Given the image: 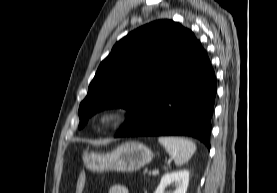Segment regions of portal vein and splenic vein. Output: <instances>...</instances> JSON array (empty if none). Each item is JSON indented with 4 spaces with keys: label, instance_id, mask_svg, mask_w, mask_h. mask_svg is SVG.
I'll return each mask as SVG.
<instances>
[{
    "label": "portal vein and splenic vein",
    "instance_id": "obj_1",
    "mask_svg": "<svg viewBox=\"0 0 277 193\" xmlns=\"http://www.w3.org/2000/svg\"><path fill=\"white\" fill-rule=\"evenodd\" d=\"M158 173H159V170H157V169H155L152 172H150V174H152V175H157Z\"/></svg>",
    "mask_w": 277,
    "mask_h": 193
}]
</instances>
